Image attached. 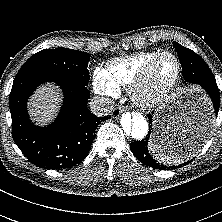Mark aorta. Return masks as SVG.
<instances>
[{"mask_svg":"<svg viewBox=\"0 0 222 222\" xmlns=\"http://www.w3.org/2000/svg\"><path fill=\"white\" fill-rule=\"evenodd\" d=\"M124 135L132 140H142L148 132V121L139 112H128L121 118Z\"/></svg>","mask_w":222,"mask_h":222,"instance_id":"obj_1","label":"aorta"}]
</instances>
